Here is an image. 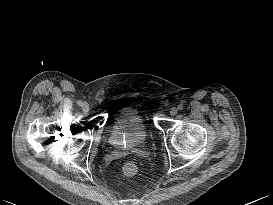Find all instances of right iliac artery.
Masks as SVG:
<instances>
[{
	"label": "right iliac artery",
	"instance_id": "right-iliac-artery-1",
	"mask_svg": "<svg viewBox=\"0 0 273 205\" xmlns=\"http://www.w3.org/2000/svg\"><path fill=\"white\" fill-rule=\"evenodd\" d=\"M77 104H78L79 106H81L83 103H82V101H78Z\"/></svg>",
	"mask_w": 273,
	"mask_h": 205
}]
</instances>
